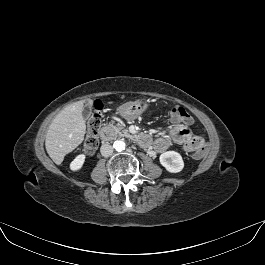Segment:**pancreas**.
Returning <instances> with one entry per match:
<instances>
[{
  "mask_svg": "<svg viewBox=\"0 0 265 265\" xmlns=\"http://www.w3.org/2000/svg\"><path fill=\"white\" fill-rule=\"evenodd\" d=\"M109 126L113 128L114 134L118 135L119 137H129L130 136L129 133H128V130L125 129L120 124H118L117 127H116V126L113 125V123H110Z\"/></svg>",
  "mask_w": 265,
  "mask_h": 265,
  "instance_id": "pancreas-1",
  "label": "pancreas"
}]
</instances>
